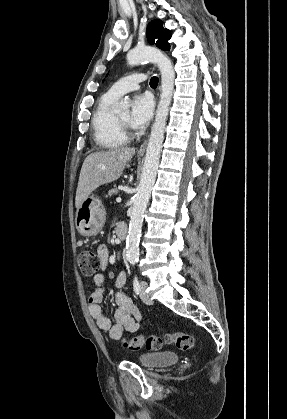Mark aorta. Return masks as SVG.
Returning <instances> with one entry per match:
<instances>
[{
	"label": "aorta",
	"instance_id": "1",
	"mask_svg": "<svg viewBox=\"0 0 287 419\" xmlns=\"http://www.w3.org/2000/svg\"><path fill=\"white\" fill-rule=\"evenodd\" d=\"M126 59L131 66L138 65L142 61H151L158 66L161 73L160 100L155 121L151 128L141 179L133 199L126 239V258L130 264L135 265L139 259V240L143 218L158 171L166 120L174 92L175 71L171 60L160 50L153 47H136L127 53ZM119 108L127 110L128 106L126 103H121Z\"/></svg>",
	"mask_w": 287,
	"mask_h": 419
}]
</instances>
